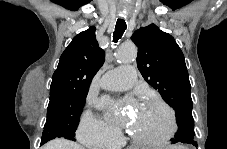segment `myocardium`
Listing matches in <instances>:
<instances>
[{"mask_svg":"<svg viewBox=\"0 0 227 149\" xmlns=\"http://www.w3.org/2000/svg\"><path fill=\"white\" fill-rule=\"evenodd\" d=\"M146 102L155 103L157 105H160L161 107H163L166 110L168 117H169L168 131L164 135H162L160 137H155V138L141 137V136L136 135L132 131L129 132V135H130L131 139L136 144H139V145H144V146L164 145L174 136V134L177 131V121H176L175 112H174L173 108L161 98L150 97V98L146 99Z\"/></svg>","mask_w":227,"mask_h":149,"instance_id":"myocardium-1","label":"myocardium"}]
</instances>
